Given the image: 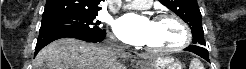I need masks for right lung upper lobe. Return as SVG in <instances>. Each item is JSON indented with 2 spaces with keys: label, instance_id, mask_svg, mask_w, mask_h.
Here are the masks:
<instances>
[{
  "label": "right lung upper lobe",
  "instance_id": "right-lung-upper-lobe-1",
  "mask_svg": "<svg viewBox=\"0 0 246 69\" xmlns=\"http://www.w3.org/2000/svg\"><path fill=\"white\" fill-rule=\"evenodd\" d=\"M101 0H47L43 17L59 14H97Z\"/></svg>",
  "mask_w": 246,
  "mask_h": 69
}]
</instances>
